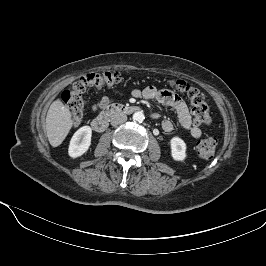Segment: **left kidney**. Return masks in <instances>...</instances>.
Instances as JSON below:
<instances>
[{"label":"left kidney","mask_w":266,"mask_h":266,"mask_svg":"<svg viewBox=\"0 0 266 266\" xmlns=\"http://www.w3.org/2000/svg\"><path fill=\"white\" fill-rule=\"evenodd\" d=\"M172 158L176 161H183L186 158V144L179 137L170 140Z\"/></svg>","instance_id":"5707ae66"}]
</instances>
